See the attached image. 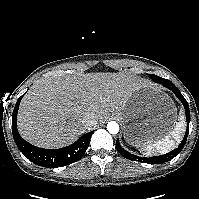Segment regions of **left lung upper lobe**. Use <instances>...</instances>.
Here are the masks:
<instances>
[{
    "label": "left lung upper lobe",
    "mask_w": 199,
    "mask_h": 199,
    "mask_svg": "<svg viewBox=\"0 0 199 199\" xmlns=\"http://www.w3.org/2000/svg\"><path fill=\"white\" fill-rule=\"evenodd\" d=\"M149 76H150V78H151L152 80H154L155 82L169 81V80L163 79V78L158 77V76L153 75V74H150Z\"/></svg>",
    "instance_id": "left-lung-upper-lobe-1"
}]
</instances>
